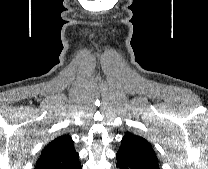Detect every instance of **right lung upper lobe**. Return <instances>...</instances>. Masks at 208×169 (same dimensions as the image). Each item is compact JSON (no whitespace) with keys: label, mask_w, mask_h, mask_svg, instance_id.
<instances>
[{"label":"right lung upper lobe","mask_w":208,"mask_h":169,"mask_svg":"<svg viewBox=\"0 0 208 169\" xmlns=\"http://www.w3.org/2000/svg\"><path fill=\"white\" fill-rule=\"evenodd\" d=\"M78 159L72 138L64 134L44 147L34 169H63Z\"/></svg>","instance_id":"right-lung-upper-lobe-1"}]
</instances>
